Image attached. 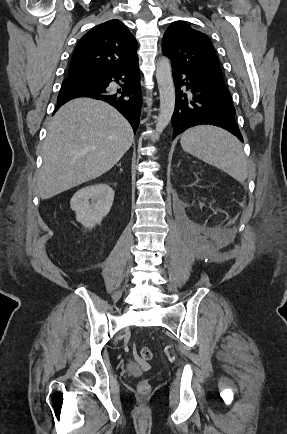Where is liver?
Masks as SVG:
<instances>
[{"label":"liver","instance_id":"liver-1","mask_svg":"<svg viewBox=\"0 0 287 434\" xmlns=\"http://www.w3.org/2000/svg\"><path fill=\"white\" fill-rule=\"evenodd\" d=\"M133 142L130 124L109 104L90 98L69 101L48 125L37 181L41 199L103 175Z\"/></svg>","mask_w":287,"mask_h":434}]
</instances>
